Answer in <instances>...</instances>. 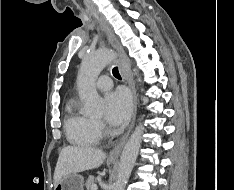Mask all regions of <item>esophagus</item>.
<instances>
[{
    "mask_svg": "<svg viewBox=\"0 0 234 190\" xmlns=\"http://www.w3.org/2000/svg\"><path fill=\"white\" fill-rule=\"evenodd\" d=\"M102 27L108 37L109 43L118 52L120 56V61H119L120 68H121V71L124 75L126 82L128 83L131 89L132 97H133V117H132V122L129 127V130L123 136V138L119 141V143L110 151L108 155L109 159H117L135 123V118H136V113H137V95H136L135 83H134L132 74L130 72V69L127 65L124 64V52H123L121 44L119 43L118 39L116 38V36L114 35V33L111 31V29L108 27L107 24H102Z\"/></svg>",
    "mask_w": 234,
    "mask_h": 190,
    "instance_id": "34e87169",
    "label": "esophagus"
}]
</instances>
